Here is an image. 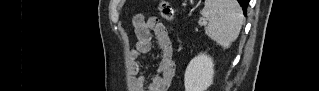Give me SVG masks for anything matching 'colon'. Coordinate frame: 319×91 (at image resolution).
<instances>
[{"label": "colon", "instance_id": "1", "mask_svg": "<svg viewBox=\"0 0 319 91\" xmlns=\"http://www.w3.org/2000/svg\"><path fill=\"white\" fill-rule=\"evenodd\" d=\"M159 11L161 16L167 20L172 21L174 17V7L168 1L161 0L159 1Z\"/></svg>", "mask_w": 319, "mask_h": 91}]
</instances>
